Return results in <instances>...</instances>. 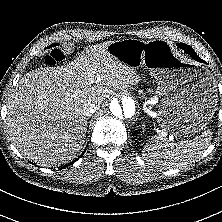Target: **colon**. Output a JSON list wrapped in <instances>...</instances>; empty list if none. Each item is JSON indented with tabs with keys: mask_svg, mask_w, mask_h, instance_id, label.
<instances>
[{
	"mask_svg": "<svg viewBox=\"0 0 222 222\" xmlns=\"http://www.w3.org/2000/svg\"><path fill=\"white\" fill-rule=\"evenodd\" d=\"M64 59V55L59 51H50L45 57V62L49 65H54Z\"/></svg>",
	"mask_w": 222,
	"mask_h": 222,
	"instance_id": "1",
	"label": "colon"
}]
</instances>
